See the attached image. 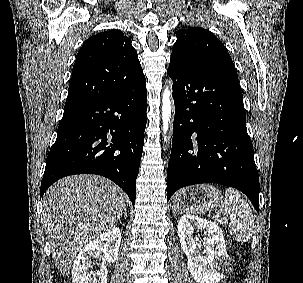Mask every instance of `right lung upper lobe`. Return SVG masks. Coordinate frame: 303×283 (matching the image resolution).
Returning <instances> with one entry per match:
<instances>
[{
	"label": "right lung upper lobe",
	"mask_w": 303,
	"mask_h": 283,
	"mask_svg": "<svg viewBox=\"0 0 303 283\" xmlns=\"http://www.w3.org/2000/svg\"><path fill=\"white\" fill-rule=\"evenodd\" d=\"M143 78L131 40L120 30L98 33L77 54L65 108L116 93Z\"/></svg>",
	"instance_id": "1"
}]
</instances>
